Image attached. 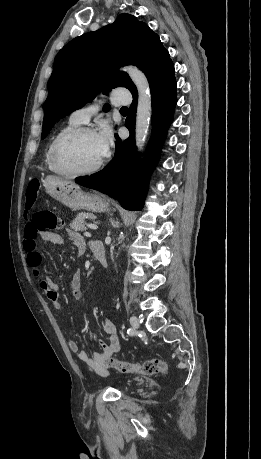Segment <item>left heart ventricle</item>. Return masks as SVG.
<instances>
[{
    "label": "left heart ventricle",
    "instance_id": "obj_1",
    "mask_svg": "<svg viewBox=\"0 0 261 459\" xmlns=\"http://www.w3.org/2000/svg\"><path fill=\"white\" fill-rule=\"evenodd\" d=\"M102 158L101 147L95 134H86L69 140L60 153V162L68 170L91 168Z\"/></svg>",
    "mask_w": 261,
    "mask_h": 459
}]
</instances>
